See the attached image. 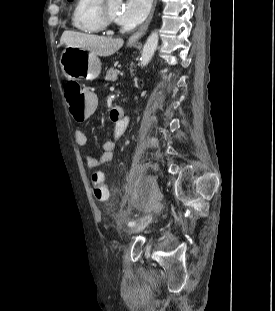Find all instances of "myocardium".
I'll return each mask as SVG.
<instances>
[{
	"label": "myocardium",
	"mask_w": 275,
	"mask_h": 311,
	"mask_svg": "<svg viewBox=\"0 0 275 311\" xmlns=\"http://www.w3.org/2000/svg\"><path fill=\"white\" fill-rule=\"evenodd\" d=\"M99 17L105 29L117 24V20L111 15L108 9V0H102L99 7Z\"/></svg>",
	"instance_id": "obj_1"
}]
</instances>
